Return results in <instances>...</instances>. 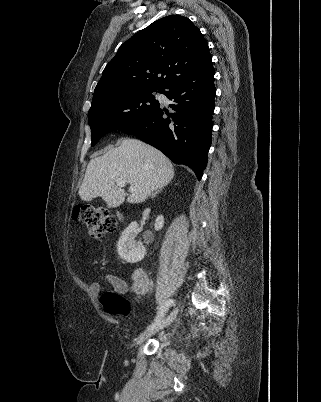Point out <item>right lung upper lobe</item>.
<instances>
[{
	"instance_id": "obj_1",
	"label": "right lung upper lobe",
	"mask_w": 321,
	"mask_h": 402,
	"mask_svg": "<svg viewBox=\"0 0 321 402\" xmlns=\"http://www.w3.org/2000/svg\"><path fill=\"white\" fill-rule=\"evenodd\" d=\"M210 64L212 57L199 28L183 16L161 18L119 48L95 87L92 105L127 93L164 89Z\"/></svg>"
}]
</instances>
